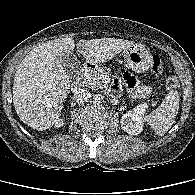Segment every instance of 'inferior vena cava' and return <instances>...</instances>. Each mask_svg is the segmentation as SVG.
<instances>
[{
    "label": "inferior vena cava",
    "mask_w": 195,
    "mask_h": 195,
    "mask_svg": "<svg viewBox=\"0 0 195 195\" xmlns=\"http://www.w3.org/2000/svg\"><path fill=\"white\" fill-rule=\"evenodd\" d=\"M91 97L89 90L85 88H79L74 92L73 99L78 104H84Z\"/></svg>",
    "instance_id": "inferior-vena-cava-1"
}]
</instances>
